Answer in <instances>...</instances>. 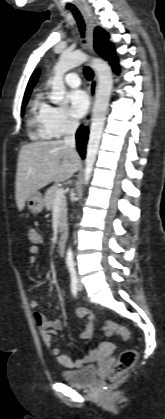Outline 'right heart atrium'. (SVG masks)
<instances>
[{"mask_svg":"<svg viewBox=\"0 0 165 419\" xmlns=\"http://www.w3.org/2000/svg\"><path fill=\"white\" fill-rule=\"evenodd\" d=\"M47 122L53 137H61L73 131L78 121L64 108L49 106Z\"/></svg>","mask_w":165,"mask_h":419,"instance_id":"right-heart-atrium-1","label":"right heart atrium"}]
</instances>
